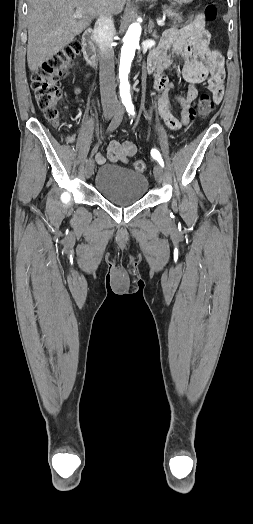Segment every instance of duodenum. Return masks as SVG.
<instances>
[{
  "instance_id": "410a0bca",
  "label": "duodenum",
  "mask_w": 253,
  "mask_h": 524,
  "mask_svg": "<svg viewBox=\"0 0 253 524\" xmlns=\"http://www.w3.org/2000/svg\"><path fill=\"white\" fill-rule=\"evenodd\" d=\"M83 53L87 63L92 66H97V53L93 43V31L87 29L82 35ZM153 66L147 65V72H153Z\"/></svg>"
}]
</instances>
